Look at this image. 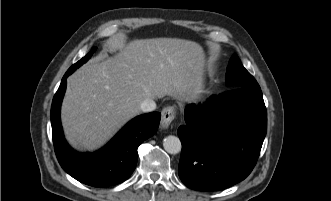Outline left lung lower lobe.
Instances as JSON below:
<instances>
[{"instance_id":"1","label":"left lung lower lobe","mask_w":331,"mask_h":201,"mask_svg":"<svg viewBox=\"0 0 331 201\" xmlns=\"http://www.w3.org/2000/svg\"><path fill=\"white\" fill-rule=\"evenodd\" d=\"M178 174L189 188L214 191L244 180L254 168L267 130L258 86L237 87L185 108Z\"/></svg>"}]
</instances>
